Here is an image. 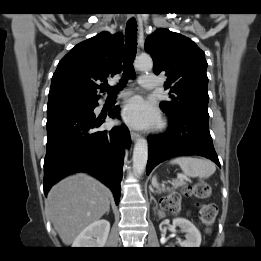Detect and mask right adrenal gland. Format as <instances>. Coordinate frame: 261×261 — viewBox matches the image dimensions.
<instances>
[{
  "label": "right adrenal gland",
  "instance_id": "right-adrenal-gland-1",
  "mask_svg": "<svg viewBox=\"0 0 261 261\" xmlns=\"http://www.w3.org/2000/svg\"><path fill=\"white\" fill-rule=\"evenodd\" d=\"M110 209H108L107 214H109Z\"/></svg>",
  "mask_w": 261,
  "mask_h": 261
}]
</instances>
